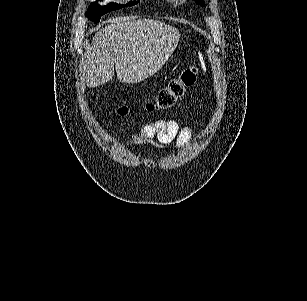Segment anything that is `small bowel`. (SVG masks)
<instances>
[{"mask_svg":"<svg viewBox=\"0 0 307 301\" xmlns=\"http://www.w3.org/2000/svg\"><path fill=\"white\" fill-rule=\"evenodd\" d=\"M191 138V127L187 123H180L175 119H159L144 124L131 135V140L135 144H141L145 140L156 139L162 144L175 141L180 148L187 147Z\"/></svg>","mask_w":307,"mask_h":301,"instance_id":"c3829d8e","label":"small bowel"}]
</instances>
